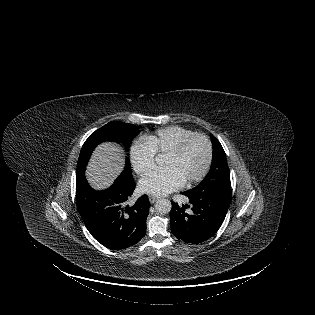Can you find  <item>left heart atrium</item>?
<instances>
[{
  "label": "left heart atrium",
  "instance_id": "39dd6f15",
  "mask_svg": "<svg viewBox=\"0 0 315 315\" xmlns=\"http://www.w3.org/2000/svg\"><path fill=\"white\" fill-rule=\"evenodd\" d=\"M185 183V179L174 168L164 166L147 174L139 184L144 193L162 196L177 190Z\"/></svg>",
  "mask_w": 315,
  "mask_h": 315
}]
</instances>
